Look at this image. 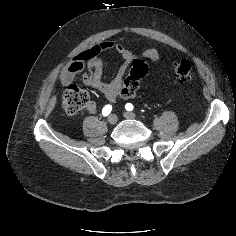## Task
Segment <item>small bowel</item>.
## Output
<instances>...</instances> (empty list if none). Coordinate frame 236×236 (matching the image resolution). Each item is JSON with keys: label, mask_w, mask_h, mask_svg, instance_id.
<instances>
[{"label": "small bowel", "mask_w": 236, "mask_h": 236, "mask_svg": "<svg viewBox=\"0 0 236 236\" xmlns=\"http://www.w3.org/2000/svg\"><path fill=\"white\" fill-rule=\"evenodd\" d=\"M110 51L120 55L123 59V63L114 78L110 82H104L101 78L104 66L102 54ZM143 56L150 61L156 62L160 59V52L156 48H148L143 52ZM133 57V52L124 45L106 40L76 54L63 68L59 79L61 83L67 85L70 84L78 74L87 70L82 76L84 85L100 91L109 102H116L120 98L127 99L133 97L137 91H130L127 94L121 93L123 78ZM96 109L97 105L93 101H89L85 107V110L89 113L95 112Z\"/></svg>", "instance_id": "c3829d8e"}]
</instances>
